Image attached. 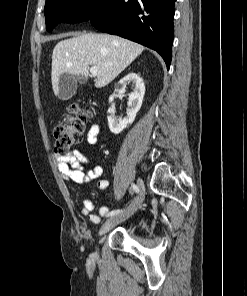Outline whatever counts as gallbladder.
I'll list each match as a JSON object with an SVG mask.
<instances>
[{
    "instance_id": "gallbladder-1",
    "label": "gallbladder",
    "mask_w": 247,
    "mask_h": 296,
    "mask_svg": "<svg viewBox=\"0 0 247 296\" xmlns=\"http://www.w3.org/2000/svg\"><path fill=\"white\" fill-rule=\"evenodd\" d=\"M82 82L84 79L82 77L79 78ZM77 83L74 76L70 74H62L59 78V93L58 97L61 100L70 99L76 92Z\"/></svg>"
}]
</instances>
